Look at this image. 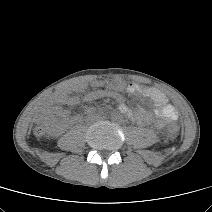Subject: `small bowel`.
Returning a JSON list of instances; mask_svg holds the SVG:
<instances>
[{
	"label": "small bowel",
	"mask_w": 212,
	"mask_h": 212,
	"mask_svg": "<svg viewBox=\"0 0 212 212\" xmlns=\"http://www.w3.org/2000/svg\"><path fill=\"white\" fill-rule=\"evenodd\" d=\"M94 90L87 93L83 99L77 95H71L67 89H62L54 93V95L47 102L44 114L45 118L49 120L52 125V134L59 135L68 129L70 126L78 124L82 121L80 115H74L69 117V111L64 106H76L81 100L84 102H92L103 98H111L119 102V110L135 120L140 125H150L157 128H162L168 123H172L177 120V110L168 103V99L164 93L160 90L141 84H124L120 81L112 83L104 80H95L91 83ZM85 85L81 84L74 88L77 92H82L85 89ZM126 91L132 94H143L148 97L156 106L155 118L143 109L137 111L131 110L124 101V97L121 92Z\"/></svg>",
	"instance_id": "obj_1"
}]
</instances>
